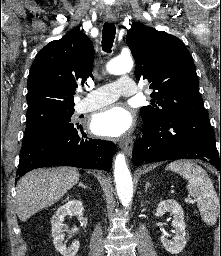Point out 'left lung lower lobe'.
<instances>
[{
	"instance_id": "0a47b994",
	"label": "left lung lower lobe",
	"mask_w": 221,
	"mask_h": 256,
	"mask_svg": "<svg viewBox=\"0 0 221 256\" xmlns=\"http://www.w3.org/2000/svg\"><path fill=\"white\" fill-rule=\"evenodd\" d=\"M142 136L133 151L134 165L171 159H201L221 174V149L205 115L175 114L162 123L143 122Z\"/></svg>"
}]
</instances>
